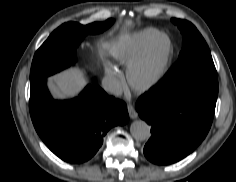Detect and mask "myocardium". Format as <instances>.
Here are the masks:
<instances>
[{"mask_svg":"<svg viewBox=\"0 0 236 182\" xmlns=\"http://www.w3.org/2000/svg\"><path fill=\"white\" fill-rule=\"evenodd\" d=\"M165 38L168 40L169 43V48L167 51L166 58L162 64V66L159 68V70L150 78L141 80L136 77L137 71L140 69L141 66H143L148 58L150 57L156 43L162 39ZM174 55V44L170 38V36L166 33H159L157 34L149 46L146 48V50L139 56L137 57L128 67L126 71V77L127 81L130 84V86L135 89L136 91H146L151 88H153L155 85H157L163 77L166 75L168 72L171 62L173 59Z\"/></svg>","mask_w":236,"mask_h":182,"instance_id":"f54148a6","label":"myocardium"}]
</instances>
